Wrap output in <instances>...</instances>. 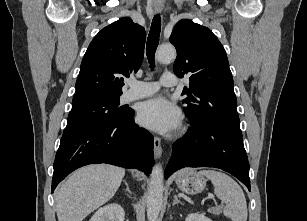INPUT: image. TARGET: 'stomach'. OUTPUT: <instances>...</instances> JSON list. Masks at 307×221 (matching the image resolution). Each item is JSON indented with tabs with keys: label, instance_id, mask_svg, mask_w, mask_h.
Returning a JSON list of instances; mask_svg holds the SVG:
<instances>
[{
	"label": "stomach",
	"instance_id": "stomach-1",
	"mask_svg": "<svg viewBox=\"0 0 307 221\" xmlns=\"http://www.w3.org/2000/svg\"><path fill=\"white\" fill-rule=\"evenodd\" d=\"M206 182L205 177L193 169H184L176 177L177 186L188 194L201 193L206 187Z\"/></svg>",
	"mask_w": 307,
	"mask_h": 221
}]
</instances>
